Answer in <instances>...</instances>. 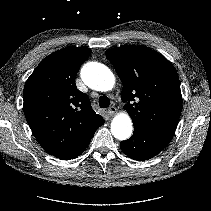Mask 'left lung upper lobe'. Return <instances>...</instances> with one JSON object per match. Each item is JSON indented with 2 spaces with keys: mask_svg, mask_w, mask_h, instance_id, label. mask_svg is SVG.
<instances>
[{
  "mask_svg": "<svg viewBox=\"0 0 211 211\" xmlns=\"http://www.w3.org/2000/svg\"><path fill=\"white\" fill-rule=\"evenodd\" d=\"M122 81L121 98L134 128L175 132L182 95L174 66L161 54L140 46L106 51Z\"/></svg>",
  "mask_w": 211,
  "mask_h": 211,
  "instance_id": "obj_1",
  "label": "left lung upper lobe"
}]
</instances>
